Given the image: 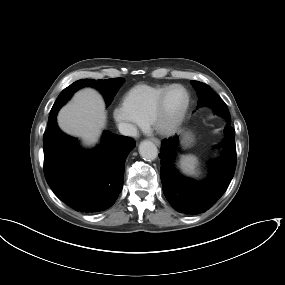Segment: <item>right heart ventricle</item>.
Returning a JSON list of instances; mask_svg holds the SVG:
<instances>
[{
	"label": "right heart ventricle",
	"instance_id": "obj_1",
	"mask_svg": "<svg viewBox=\"0 0 285 285\" xmlns=\"http://www.w3.org/2000/svg\"><path fill=\"white\" fill-rule=\"evenodd\" d=\"M168 86L169 85H136L127 91L123 101L130 108L134 116L142 124H145L154 106Z\"/></svg>",
	"mask_w": 285,
	"mask_h": 285
}]
</instances>
